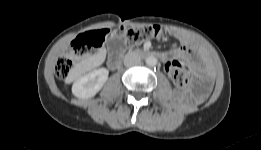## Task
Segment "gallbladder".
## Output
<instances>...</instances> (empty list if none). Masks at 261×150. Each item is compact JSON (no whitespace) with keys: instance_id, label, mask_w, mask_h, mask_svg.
<instances>
[{"instance_id":"1","label":"gallbladder","mask_w":261,"mask_h":150,"mask_svg":"<svg viewBox=\"0 0 261 150\" xmlns=\"http://www.w3.org/2000/svg\"><path fill=\"white\" fill-rule=\"evenodd\" d=\"M107 48L112 54H117L125 48V44L121 39L112 38L108 41Z\"/></svg>"}]
</instances>
